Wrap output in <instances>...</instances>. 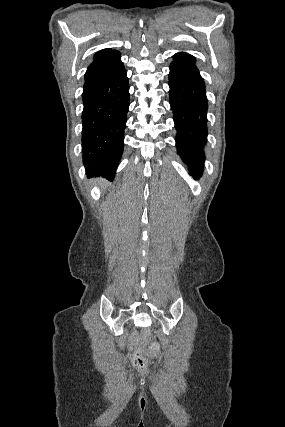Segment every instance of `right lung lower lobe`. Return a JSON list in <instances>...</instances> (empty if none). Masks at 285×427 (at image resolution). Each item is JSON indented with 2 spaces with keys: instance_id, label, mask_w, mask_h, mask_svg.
Returning <instances> with one entry per match:
<instances>
[{
  "instance_id": "right-lung-lower-lobe-1",
  "label": "right lung lower lobe",
  "mask_w": 285,
  "mask_h": 427,
  "mask_svg": "<svg viewBox=\"0 0 285 427\" xmlns=\"http://www.w3.org/2000/svg\"><path fill=\"white\" fill-rule=\"evenodd\" d=\"M129 97L125 70L84 85L82 152L89 177L113 180L123 153Z\"/></svg>"
}]
</instances>
